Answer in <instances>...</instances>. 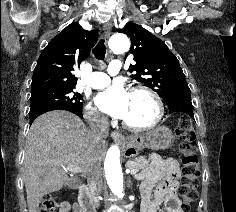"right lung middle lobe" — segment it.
Instances as JSON below:
<instances>
[{"label":"right lung middle lobe","mask_w":236,"mask_h":212,"mask_svg":"<svg viewBox=\"0 0 236 212\" xmlns=\"http://www.w3.org/2000/svg\"><path fill=\"white\" fill-rule=\"evenodd\" d=\"M75 87L50 88L31 93V107L36 105H51L82 109V95L75 93Z\"/></svg>","instance_id":"1"}]
</instances>
